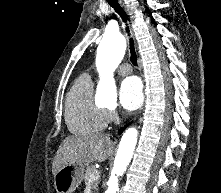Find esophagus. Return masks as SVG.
<instances>
[{"label":"esophagus","instance_id":"esophagus-1","mask_svg":"<svg viewBox=\"0 0 221 193\" xmlns=\"http://www.w3.org/2000/svg\"><path fill=\"white\" fill-rule=\"evenodd\" d=\"M119 1V4L124 8V10L127 12L128 11V9H127V6H126V4L124 3V1L123 0H118ZM139 67H140V69H141V65H140V63H139Z\"/></svg>","mask_w":221,"mask_h":193}]
</instances>
